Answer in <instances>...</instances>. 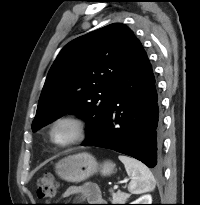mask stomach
Here are the masks:
<instances>
[{
    "label": "stomach",
    "mask_w": 200,
    "mask_h": 205,
    "mask_svg": "<svg viewBox=\"0 0 200 205\" xmlns=\"http://www.w3.org/2000/svg\"><path fill=\"white\" fill-rule=\"evenodd\" d=\"M114 168L115 164L112 162L98 164L91 154L83 152L61 159L55 165V172L68 182H81L97 172L108 176L114 172Z\"/></svg>",
    "instance_id": "0dacf381"
}]
</instances>
